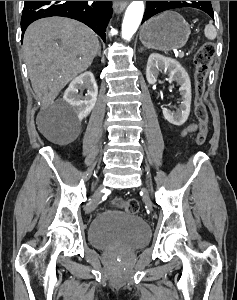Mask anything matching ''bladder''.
<instances>
[{
	"label": "bladder",
	"instance_id": "1",
	"mask_svg": "<svg viewBox=\"0 0 237 300\" xmlns=\"http://www.w3.org/2000/svg\"><path fill=\"white\" fill-rule=\"evenodd\" d=\"M88 238L97 248H137L148 242L150 229L137 215L108 210L97 214L91 221Z\"/></svg>",
	"mask_w": 237,
	"mask_h": 300
}]
</instances>
